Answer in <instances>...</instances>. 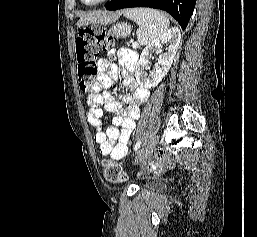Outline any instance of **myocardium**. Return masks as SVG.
Wrapping results in <instances>:
<instances>
[{"instance_id":"1","label":"myocardium","mask_w":257,"mask_h":237,"mask_svg":"<svg viewBox=\"0 0 257 237\" xmlns=\"http://www.w3.org/2000/svg\"><path fill=\"white\" fill-rule=\"evenodd\" d=\"M83 4L87 5V6H96V5H100V4H103V3H106L110 0H97L95 2H92V3H88L86 2L85 0H81Z\"/></svg>"}]
</instances>
